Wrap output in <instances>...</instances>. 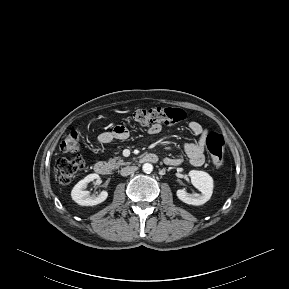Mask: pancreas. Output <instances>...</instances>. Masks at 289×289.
Listing matches in <instances>:
<instances>
[{
  "instance_id": "cf45deb5",
  "label": "pancreas",
  "mask_w": 289,
  "mask_h": 289,
  "mask_svg": "<svg viewBox=\"0 0 289 289\" xmlns=\"http://www.w3.org/2000/svg\"><path fill=\"white\" fill-rule=\"evenodd\" d=\"M109 162L115 167L118 168L120 165H124L125 162L121 159V157H114L109 160Z\"/></svg>"
}]
</instances>
